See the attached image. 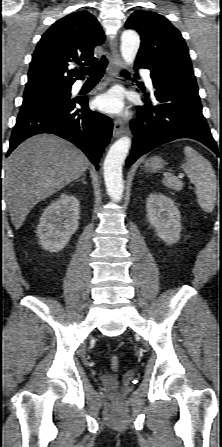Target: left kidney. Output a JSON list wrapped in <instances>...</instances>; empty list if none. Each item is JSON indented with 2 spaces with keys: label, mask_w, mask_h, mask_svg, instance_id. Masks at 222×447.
I'll use <instances>...</instances> for the list:
<instances>
[{
  "label": "left kidney",
  "mask_w": 222,
  "mask_h": 447,
  "mask_svg": "<svg viewBox=\"0 0 222 447\" xmlns=\"http://www.w3.org/2000/svg\"><path fill=\"white\" fill-rule=\"evenodd\" d=\"M146 211L149 223L164 242H178L182 229L181 216L172 199L160 193H151L146 201Z\"/></svg>",
  "instance_id": "5707ae66"
}]
</instances>
